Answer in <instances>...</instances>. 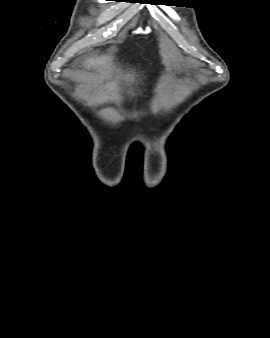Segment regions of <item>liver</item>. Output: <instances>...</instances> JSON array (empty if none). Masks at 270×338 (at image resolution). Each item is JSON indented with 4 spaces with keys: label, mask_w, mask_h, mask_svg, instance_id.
Returning <instances> with one entry per match:
<instances>
[{
    "label": "liver",
    "mask_w": 270,
    "mask_h": 338,
    "mask_svg": "<svg viewBox=\"0 0 270 338\" xmlns=\"http://www.w3.org/2000/svg\"><path fill=\"white\" fill-rule=\"evenodd\" d=\"M84 65H86L88 68L94 67V68H98V69H109L110 64L108 63V60L104 57H90L88 59H86ZM127 80H130L131 82L134 81V75H130L128 74L126 76Z\"/></svg>",
    "instance_id": "6515ba94"
}]
</instances>
